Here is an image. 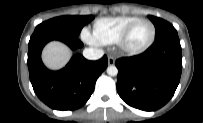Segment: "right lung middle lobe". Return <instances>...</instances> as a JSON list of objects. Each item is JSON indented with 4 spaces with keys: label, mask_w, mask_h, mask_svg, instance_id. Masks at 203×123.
Wrapping results in <instances>:
<instances>
[{
    "label": "right lung middle lobe",
    "mask_w": 203,
    "mask_h": 123,
    "mask_svg": "<svg viewBox=\"0 0 203 123\" xmlns=\"http://www.w3.org/2000/svg\"><path fill=\"white\" fill-rule=\"evenodd\" d=\"M94 17L87 16H61L39 24L35 31H42L57 36L77 38L85 24Z\"/></svg>",
    "instance_id": "1"
}]
</instances>
